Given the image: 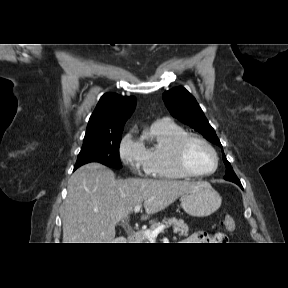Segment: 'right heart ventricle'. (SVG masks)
Wrapping results in <instances>:
<instances>
[{"mask_svg": "<svg viewBox=\"0 0 288 288\" xmlns=\"http://www.w3.org/2000/svg\"><path fill=\"white\" fill-rule=\"evenodd\" d=\"M186 131L169 120H159L151 124L144 134L148 145L146 151L145 170L149 176L160 179H182L189 176L182 173L174 163V143Z\"/></svg>", "mask_w": 288, "mask_h": 288, "instance_id": "1", "label": "right heart ventricle"}]
</instances>
